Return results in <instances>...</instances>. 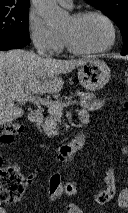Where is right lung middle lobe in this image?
<instances>
[{
    "mask_svg": "<svg viewBox=\"0 0 128 213\" xmlns=\"http://www.w3.org/2000/svg\"><path fill=\"white\" fill-rule=\"evenodd\" d=\"M28 11L29 6L0 7V40L30 43Z\"/></svg>",
    "mask_w": 128,
    "mask_h": 213,
    "instance_id": "right-lung-middle-lobe-1",
    "label": "right lung middle lobe"
}]
</instances>
